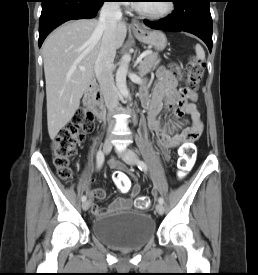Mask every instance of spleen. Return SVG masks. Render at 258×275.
Here are the masks:
<instances>
[{"label": "spleen", "instance_id": "spleen-1", "mask_svg": "<svg viewBox=\"0 0 258 275\" xmlns=\"http://www.w3.org/2000/svg\"><path fill=\"white\" fill-rule=\"evenodd\" d=\"M195 51H196V55H197L198 59L203 60L205 58V52H204V50H203V48H202L201 45L196 44Z\"/></svg>", "mask_w": 258, "mask_h": 275}]
</instances>
